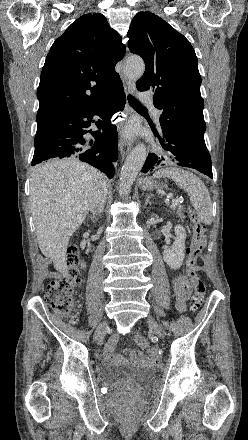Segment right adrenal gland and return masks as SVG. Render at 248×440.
<instances>
[{
  "instance_id": "right-adrenal-gland-1",
  "label": "right adrenal gland",
  "mask_w": 248,
  "mask_h": 440,
  "mask_svg": "<svg viewBox=\"0 0 248 440\" xmlns=\"http://www.w3.org/2000/svg\"><path fill=\"white\" fill-rule=\"evenodd\" d=\"M89 217H90L92 222H95V221H97L99 219V217L92 216V215H90Z\"/></svg>"
}]
</instances>
